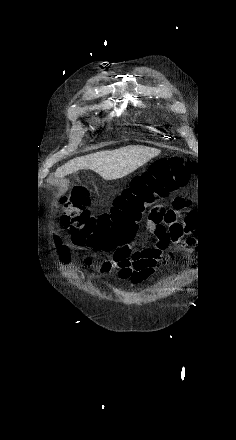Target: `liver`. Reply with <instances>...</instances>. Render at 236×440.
<instances>
[{
    "mask_svg": "<svg viewBox=\"0 0 236 440\" xmlns=\"http://www.w3.org/2000/svg\"><path fill=\"white\" fill-rule=\"evenodd\" d=\"M159 153L158 149L138 145H130L111 151H99L66 162L55 171V177L63 178L78 170L90 169L98 173L104 180L120 179Z\"/></svg>",
    "mask_w": 236,
    "mask_h": 440,
    "instance_id": "liver-1",
    "label": "liver"
}]
</instances>
